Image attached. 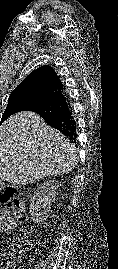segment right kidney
Segmentation results:
<instances>
[{
  "instance_id": "ca27d5eb",
  "label": "right kidney",
  "mask_w": 118,
  "mask_h": 269,
  "mask_svg": "<svg viewBox=\"0 0 118 269\" xmlns=\"http://www.w3.org/2000/svg\"><path fill=\"white\" fill-rule=\"evenodd\" d=\"M58 183L55 180H48L40 184L30 199V215L34 223H41L46 220L51 204L54 202Z\"/></svg>"
}]
</instances>
